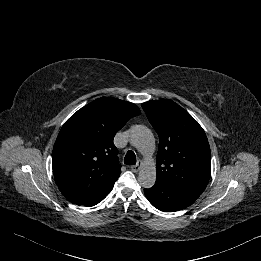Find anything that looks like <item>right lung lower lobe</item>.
<instances>
[{"label":"right lung lower lobe","mask_w":261,"mask_h":261,"mask_svg":"<svg viewBox=\"0 0 261 261\" xmlns=\"http://www.w3.org/2000/svg\"><path fill=\"white\" fill-rule=\"evenodd\" d=\"M100 201H101V200H100ZM100 201H99V202H100ZM99 202H97V203H99ZM97 203H95V204H93V205H96ZM93 205H90V206H93Z\"/></svg>","instance_id":"1"}]
</instances>
